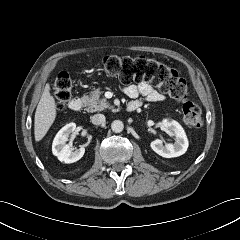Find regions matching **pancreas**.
Instances as JSON below:
<instances>
[{
	"instance_id": "1",
	"label": "pancreas",
	"mask_w": 240,
	"mask_h": 240,
	"mask_svg": "<svg viewBox=\"0 0 240 240\" xmlns=\"http://www.w3.org/2000/svg\"><path fill=\"white\" fill-rule=\"evenodd\" d=\"M101 94L102 92L100 91V89H95L89 94V96L82 97V101L87 107V112L93 113L96 111H103L112 108L105 98H100Z\"/></svg>"
}]
</instances>
